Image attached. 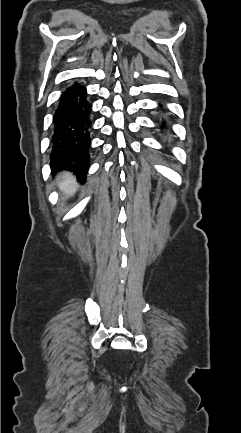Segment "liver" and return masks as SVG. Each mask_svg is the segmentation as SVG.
<instances>
[{
    "mask_svg": "<svg viewBox=\"0 0 241 433\" xmlns=\"http://www.w3.org/2000/svg\"><path fill=\"white\" fill-rule=\"evenodd\" d=\"M59 189L66 194L67 196H71L76 192L77 189V183L74 176H72L70 173H63L59 178Z\"/></svg>",
    "mask_w": 241,
    "mask_h": 433,
    "instance_id": "1",
    "label": "liver"
}]
</instances>
